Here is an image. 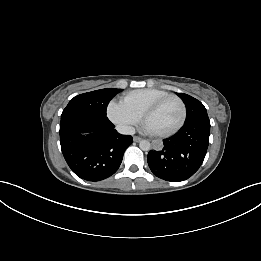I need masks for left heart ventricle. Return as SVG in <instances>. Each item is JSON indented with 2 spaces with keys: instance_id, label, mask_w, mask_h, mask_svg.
Instances as JSON below:
<instances>
[{
  "instance_id": "left-heart-ventricle-1",
  "label": "left heart ventricle",
  "mask_w": 261,
  "mask_h": 261,
  "mask_svg": "<svg viewBox=\"0 0 261 261\" xmlns=\"http://www.w3.org/2000/svg\"><path fill=\"white\" fill-rule=\"evenodd\" d=\"M181 117V108L179 103L174 100H168L162 104L146 120V126L152 132H165L176 126Z\"/></svg>"
}]
</instances>
